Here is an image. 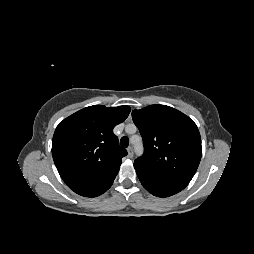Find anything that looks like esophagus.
Returning a JSON list of instances; mask_svg holds the SVG:
<instances>
[{
	"instance_id": "1",
	"label": "esophagus",
	"mask_w": 254,
	"mask_h": 254,
	"mask_svg": "<svg viewBox=\"0 0 254 254\" xmlns=\"http://www.w3.org/2000/svg\"><path fill=\"white\" fill-rule=\"evenodd\" d=\"M127 152H128V157H129V158H132L134 152H133V148H132L131 146L127 148Z\"/></svg>"
}]
</instances>
